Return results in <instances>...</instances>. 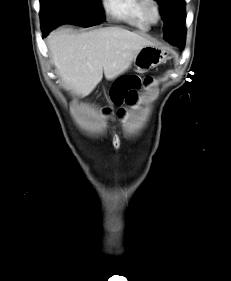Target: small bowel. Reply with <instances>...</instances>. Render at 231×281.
I'll return each instance as SVG.
<instances>
[{
	"instance_id": "1",
	"label": "small bowel",
	"mask_w": 231,
	"mask_h": 281,
	"mask_svg": "<svg viewBox=\"0 0 231 281\" xmlns=\"http://www.w3.org/2000/svg\"><path fill=\"white\" fill-rule=\"evenodd\" d=\"M153 83V78L150 76L142 77L137 74H122L116 77L110 86L109 95L111 101L116 106H121L124 103L133 105L138 100L139 90L143 87H148ZM124 111L119 110V114L123 115Z\"/></svg>"
}]
</instances>
